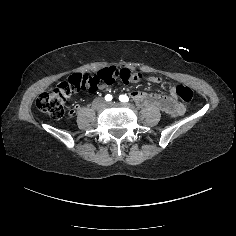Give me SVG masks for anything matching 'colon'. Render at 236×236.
I'll return each mask as SVG.
<instances>
[{"instance_id": "5ec220e1", "label": "colon", "mask_w": 236, "mask_h": 236, "mask_svg": "<svg viewBox=\"0 0 236 236\" xmlns=\"http://www.w3.org/2000/svg\"><path fill=\"white\" fill-rule=\"evenodd\" d=\"M142 75L129 69L117 67L104 68L94 74L74 73L65 77L52 90L43 92L37 98V107L40 111L54 119H61L65 115V104L70 96L78 91L96 92L101 87L121 81L125 84L135 83ZM176 95L184 102L193 98L191 88L179 85L175 89Z\"/></svg>"}]
</instances>
